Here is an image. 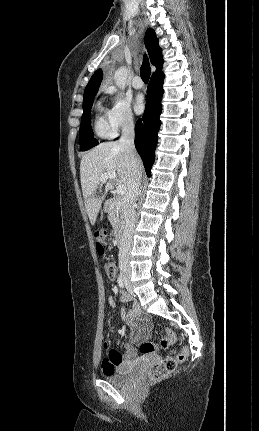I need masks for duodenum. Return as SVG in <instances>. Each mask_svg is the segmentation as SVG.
I'll use <instances>...</instances> for the list:
<instances>
[{"label":"duodenum","mask_w":259,"mask_h":431,"mask_svg":"<svg viewBox=\"0 0 259 431\" xmlns=\"http://www.w3.org/2000/svg\"><path fill=\"white\" fill-rule=\"evenodd\" d=\"M112 203H113L112 200L106 201L105 206H104L105 211H109L110 210V208L112 206ZM121 238H122L121 231H118L116 233V244L118 246H120V244H121Z\"/></svg>","instance_id":"obj_1"}]
</instances>
